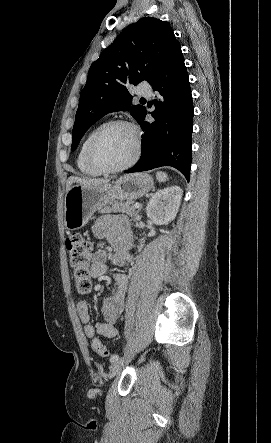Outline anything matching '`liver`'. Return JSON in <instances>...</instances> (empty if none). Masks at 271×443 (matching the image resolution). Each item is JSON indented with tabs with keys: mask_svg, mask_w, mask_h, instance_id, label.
<instances>
[{
	"mask_svg": "<svg viewBox=\"0 0 271 443\" xmlns=\"http://www.w3.org/2000/svg\"><path fill=\"white\" fill-rule=\"evenodd\" d=\"M80 184V186H97V184H107L108 180H82V178H75L70 176L66 182V194L71 190L72 184Z\"/></svg>",
	"mask_w": 271,
	"mask_h": 443,
	"instance_id": "1",
	"label": "liver"
}]
</instances>
